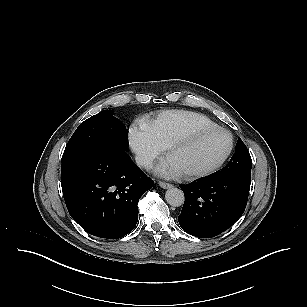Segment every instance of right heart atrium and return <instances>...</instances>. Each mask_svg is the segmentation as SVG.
<instances>
[{
  "label": "right heart atrium",
  "instance_id": "right-heart-atrium-1",
  "mask_svg": "<svg viewBox=\"0 0 307 307\" xmlns=\"http://www.w3.org/2000/svg\"><path fill=\"white\" fill-rule=\"evenodd\" d=\"M128 141L137 163L145 169L150 168L164 150L145 124L132 125L128 131Z\"/></svg>",
  "mask_w": 307,
  "mask_h": 307
}]
</instances>
